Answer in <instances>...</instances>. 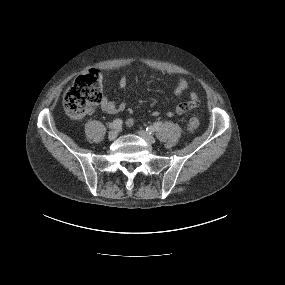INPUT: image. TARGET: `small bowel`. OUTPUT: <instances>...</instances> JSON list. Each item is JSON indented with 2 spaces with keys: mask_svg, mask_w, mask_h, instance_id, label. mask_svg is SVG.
Returning a JSON list of instances; mask_svg holds the SVG:
<instances>
[{
  "mask_svg": "<svg viewBox=\"0 0 285 285\" xmlns=\"http://www.w3.org/2000/svg\"><path fill=\"white\" fill-rule=\"evenodd\" d=\"M128 84V76L123 74L119 79V88L124 89ZM189 88V83L185 77H179L174 89V94L176 96H181ZM199 105V95L194 90H190L188 94V100L178 104L175 109L167 110L166 115L168 117L182 116L190 110L197 108ZM127 107V102L125 101H113L110 100L106 95H104L100 101L101 110L109 115H117L123 112ZM153 116H158L159 111L154 110L152 112ZM127 125L132 126L134 120L132 118L127 120Z\"/></svg>",
  "mask_w": 285,
  "mask_h": 285,
  "instance_id": "obj_1",
  "label": "small bowel"
}]
</instances>
